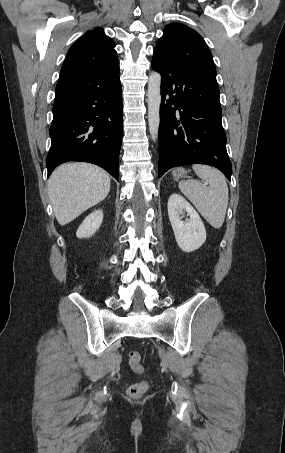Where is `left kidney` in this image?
Segmentation results:
<instances>
[{"label": "left kidney", "mask_w": 285, "mask_h": 453, "mask_svg": "<svg viewBox=\"0 0 285 453\" xmlns=\"http://www.w3.org/2000/svg\"><path fill=\"white\" fill-rule=\"evenodd\" d=\"M190 217L185 221L181 215ZM168 215L176 242L184 252L199 249L206 240L204 224L196 210L179 194H172L168 200Z\"/></svg>", "instance_id": "obj_1"}]
</instances>
